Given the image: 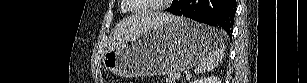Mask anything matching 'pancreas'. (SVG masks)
Returning a JSON list of instances; mask_svg holds the SVG:
<instances>
[{"mask_svg": "<svg viewBox=\"0 0 307 83\" xmlns=\"http://www.w3.org/2000/svg\"><path fill=\"white\" fill-rule=\"evenodd\" d=\"M166 83H176L175 75L170 74L166 79Z\"/></svg>", "mask_w": 307, "mask_h": 83, "instance_id": "cf45deb5", "label": "pancreas"}]
</instances>
